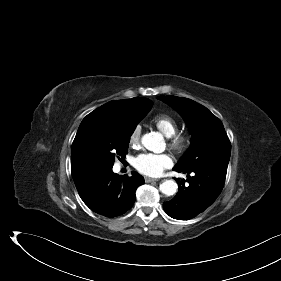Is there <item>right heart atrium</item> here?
I'll use <instances>...</instances> for the list:
<instances>
[{"label": "right heart atrium", "mask_w": 281, "mask_h": 281, "mask_svg": "<svg viewBox=\"0 0 281 281\" xmlns=\"http://www.w3.org/2000/svg\"><path fill=\"white\" fill-rule=\"evenodd\" d=\"M141 126L136 125L130 133L129 144L133 147L137 146L140 142Z\"/></svg>", "instance_id": "right-heart-atrium-1"}]
</instances>
